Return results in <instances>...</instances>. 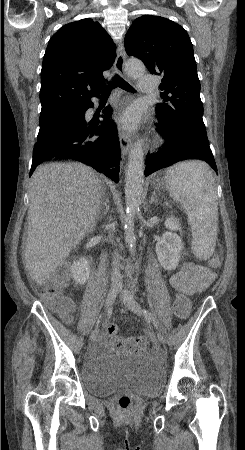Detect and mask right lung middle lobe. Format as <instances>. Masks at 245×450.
<instances>
[{
    "mask_svg": "<svg viewBox=\"0 0 245 450\" xmlns=\"http://www.w3.org/2000/svg\"><path fill=\"white\" fill-rule=\"evenodd\" d=\"M78 107H66V108H56L46 111H41L40 114V130L38 133L37 141L45 138L50 134V130L56 126V122L62 118L63 116H66L67 114H70L72 112H75L79 109Z\"/></svg>",
    "mask_w": 245,
    "mask_h": 450,
    "instance_id": "right-lung-middle-lobe-1",
    "label": "right lung middle lobe"
}]
</instances>
